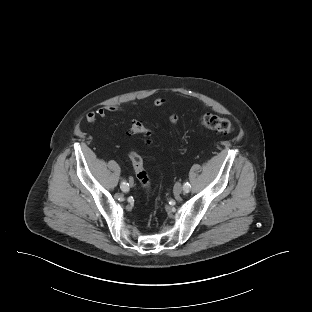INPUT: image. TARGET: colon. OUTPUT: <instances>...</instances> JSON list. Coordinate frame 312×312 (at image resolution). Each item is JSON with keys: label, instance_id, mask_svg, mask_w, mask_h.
Returning <instances> with one entry per match:
<instances>
[{"label": "colon", "instance_id": "obj_1", "mask_svg": "<svg viewBox=\"0 0 312 312\" xmlns=\"http://www.w3.org/2000/svg\"><path fill=\"white\" fill-rule=\"evenodd\" d=\"M201 124L211 131L218 133L229 134L233 131V125L231 121L227 118L216 116V115H205L201 119ZM150 133L149 128H147L141 122H134L129 129V134L131 135H148ZM134 172L140 184L145 187H150V178L147 171L144 168V163L139 154L136 152H131L129 155Z\"/></svg>", "mask_w": 312, "mask_h": 312}]
</instances>
